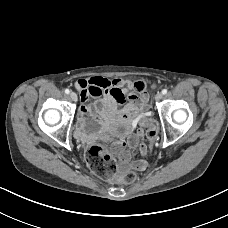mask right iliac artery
I'll list each match as a JSON object with an SVG mask.
<instances>
[{
	"label": "right iliac artery",
	"mask_w": 228,
	"mask_h": 228,
	"mask_svg": "<svg viewBox=\"0 0 228 228\" xmlns=\"http://www.w3.org/2000/svg\"><path fill=\"white\" fill-rule=\"evenodd\" d=\"M65 93L66 94H69L70 93V90L69 89H65Z\"/></svg>",
	"instance_id": "right-iliac-artery-1"
}]
</instances>
